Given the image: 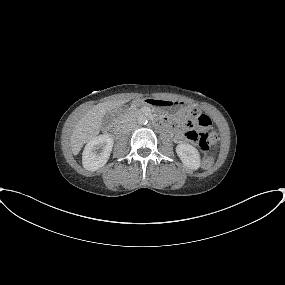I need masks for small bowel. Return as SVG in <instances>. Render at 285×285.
<instances>
[{
  "label": "small bowel",
  "instance_id": "c3829d8e",
  "mask_svg": "<svg viewBox=\"0 0 285 285\" xmlns=\"http://www.w3.org/2000/svg\"><path fill=\"white\" fill-rule=\"evenodd\" d=\"M173 136H174V139L178 142L184 140V134H183L182 130L179 128L175 129Z\"/></svg>",
  "mask_w": 285,
  "mask_h": 285
}]
</instances>
